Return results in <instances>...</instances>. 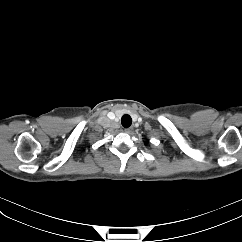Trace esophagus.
Here are the masks:
<instances>
[{
	"mask_svg": "<svg viewBox=\"0 0 242 242\" xmlns=\"http://www.w3.org/2000/svg\"><path fill=\"white\" fill-rule=\"evenodd\" d=\"M124 131L130 134L133 131V128L132 127L126 128Z\"/></svg>",
	"mask_w": 242,
	"mask_h": 242,
	"instance_id": "obj_1",
	"label": "esophagus"
}]
</instances>
